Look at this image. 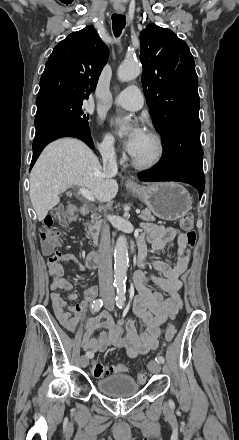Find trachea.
I'll return each mask as SVG.
<instances>
[{"label": "trachea", "instance_id": "trachea-1", "mask_svg": "<svg viewBox=\"0 0 239 440\" xmlns=\"http://www.w3.org/2000/svg\"><path fill=\"white\" fill-rule=\"evenodd\" d=\"M125 25L126 17L124 15H118L117 13H114L112 15V28L115 37H119L121 35Z\"/></svg>", "mask_w": 239, "mask_h": 440}]
</instances>
